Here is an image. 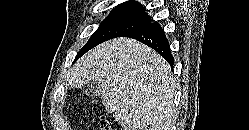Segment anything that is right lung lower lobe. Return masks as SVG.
Segmentation results:
<instances>
[{
    "mask_svg": "<svg viewBox=\"0 0 249 130\" xmlns=\"http://www.w3.org/2000/svg\"><path fill=\"white\" fill-rule=\"evenodd\" d=\"M122 37L136 39L143 44L157 51L171 66L174 63V58L170 53L169 43L165 37L162 27L157 22H150L142 27L134 29Z\"/></svg>",
    "mask_w": 249,
    "mask_h": 130,
    "instance_id": "right-lung-lower-lobe-1",
    "label": "right lung lower lobe"
}]
</instances>
